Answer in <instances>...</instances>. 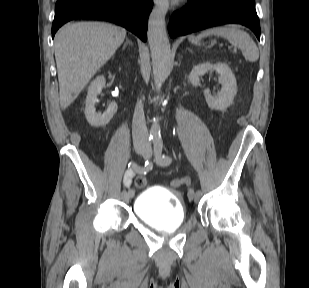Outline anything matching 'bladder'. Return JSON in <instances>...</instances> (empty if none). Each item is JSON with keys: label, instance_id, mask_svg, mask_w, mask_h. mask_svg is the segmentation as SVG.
Wrapping results in <instances>:
<instances>
[{"label": "bladder", "instance_id": "1", "mask_svg": "<svg viewBox=\"0 0 309 288\" xmlns=\"http://www.w3.org/2000/svg\"><path fill=\"white\" fill-rule=\"evenodd\" d=\"M134 212L142 222L162 231L177 229L186 216L181 195L157 187H148L137 196Z\"/></svg>", "mask_w": 309, "mask_h": 288}]
</instances>
